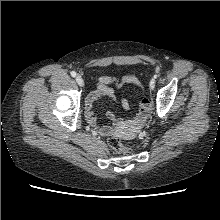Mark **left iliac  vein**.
Listing matches in <instances>:
<instances>
[{
	"label": "left iliac vein",
	"instance_id": "4c4485c4",
	"mask_svg": "<svg viewBox=\"0 0 220 220\" xmlns=\"http://www.w3.org/2000/svg\"><path fill=\"white\" fill-rule=\"evenodd\" d=\"M149 87H150V89H154V87H155V79H151L150 80Z\"/></svg>",
	"mask_w": 220,
	"mask_h": 220
}]
</instances>
